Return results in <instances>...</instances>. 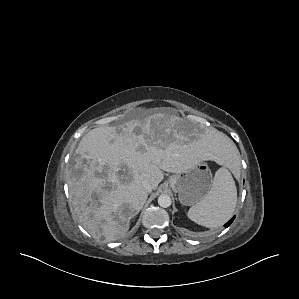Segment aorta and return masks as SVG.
I'll return each mask as SVG.
<instances>
[{
    "mask_svg": "<svg viewBox=\"0 0 299 299\" xmlns=\"http://www.w3.org/2000/svg\"><path fill=\"white\" fill-rule=\"evenodd\" d=\"M171 203H172V200H171L170 196H168V195L162 194L158 197V204L160 207L168 208V207H170Z\"/></svg>",
    "mask_w": 299,
    "mask_h": 299,
    "instance_id": "obj_1",
    "label": "aorta"
}]
</instances>
